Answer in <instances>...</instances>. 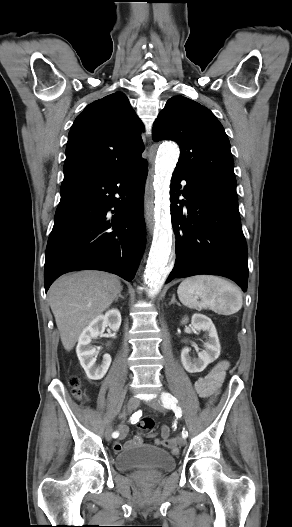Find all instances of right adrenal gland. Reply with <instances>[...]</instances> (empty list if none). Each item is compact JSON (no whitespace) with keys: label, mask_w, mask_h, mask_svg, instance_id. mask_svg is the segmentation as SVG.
I'll return each instance as SVG.
<instances>
[{"label":"right adrenal gland","mask_w":292,"mask_h":527,"mask_svg":"<svg viewBox=\"0 0 292 527\" xmlns=\"http://www.w3.org/2000/svg\"><path fill=\"white\" fill-rule=\"evenodd\" d=\"M121 298V299H125L124 296H122L121 292L118 294V296L115 298V302L118 301V299Z\"/></svg>","instance_id":"2a0ac1e0"}]
</instances>
